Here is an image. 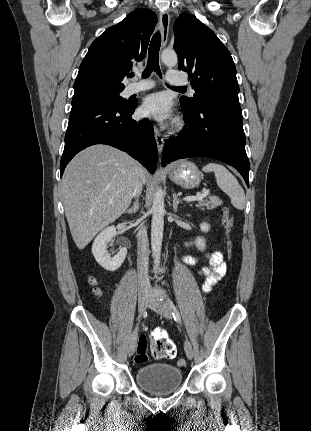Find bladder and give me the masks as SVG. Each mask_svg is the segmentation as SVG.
Here are the masks:
<instances>
[{"instance_id": "31cf9c89", "label": "bladder", "mask_w": 311, "mask_h": 431, "mask_svg": "<svg viewBox=\"0 0 311 431\" xmlns=\"http://www.w3.org/2000/svg\"><path fill=\"white\" fill-rule=\"evenodd\" d=\"M137 384L154 395H166L178 390L183 382L180 368L168 363H152L141 366L135 374Z\"/></svg>"}]
</instances>
